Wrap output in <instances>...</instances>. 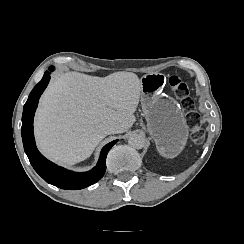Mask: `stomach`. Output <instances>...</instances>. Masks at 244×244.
<instances>
[{
    "label": "stomach",
    "mask_w": 244,
    "mask_h": 244,
    "mask_svg": "<svg viewBox=\"0 0 244 244\" xmlns=\"http://www.w3.org/2000/svg\"><path fill=\"white\" fill-rule=\"evenodd\" d=\"M166 78L149 73L141 78V105L149 135L162 157L172 159L185 148L189 130L178 101L163 92Z\"/></svg>",
    "instance_id": "1"
}]
</instances>
